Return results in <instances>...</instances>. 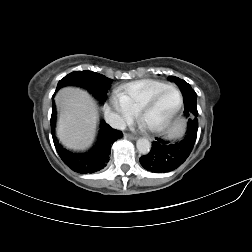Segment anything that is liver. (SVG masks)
I'll list each match as a JSON object with an SVG mask.
<instances>
[{"label": "liver", "instance_id": "liver-1", "mask_svg": "<svg viewBox=\"0 0 252 252\" xmlns=\"http://www.w3.org/2000/svg\"><path fill=\"white\" fill-rule=\"evenodd\" d=\"M59 108L57 134L68 148L83 150L95 136L97 112L88 93L75 87H65L56 96Z\"/></svg>", "mask_w": 252, "mask_h": 252}]
</instances>
